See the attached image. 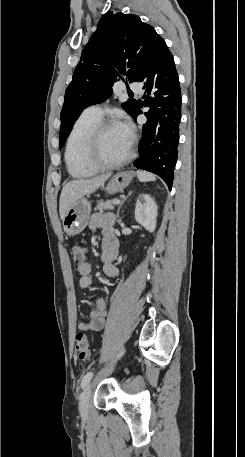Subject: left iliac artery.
<instances>
[{
	"label": "left iliac artery",
	"instance_id": "1",
	"mask_svg": "<svg viewBox=\"0 0 245 457\" xmlns=\"http://www.w3.org/2000/svg\"><path fill=\"white\" fill-rule=\"evenodd\" d=\"M123 352H124V350H122V352H120V354L118 355V357L121 356V354H122ZM92 376H93V372H92V371L87 372V373L84 375V377L82 378V382H81V387H82V388H85V387H86V385H87V384L89 383V381L91 380Z\"/></svg>",
	"mask_w": 245,
	"mask_h": 457
}]
</instances>
